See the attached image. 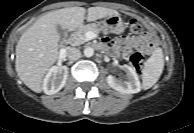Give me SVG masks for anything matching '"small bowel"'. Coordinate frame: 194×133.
<instances>
[{"instance_id":"1","label":"small bowel","mask_w":194,"mask_h":133,"mask_svg":"<svg viewBox=\"0 0 194 133\" xmlns=\"http://www.w3.org/2000/svg\"><path fill=\"white\" fill-rule=\"evenodd\" d=\"M158 37L156 35L142 34L139 36H122L114 41L104 39L101 43L103 48H112L114 52L126 57L133 50H140L142 55H147L157 47Z\"/></svg>"}]
</instances>
